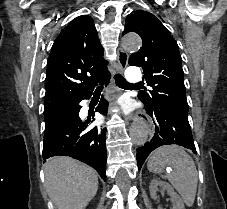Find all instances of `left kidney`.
<instances>
[{
    "label": "left kidney",
    "instance_id": "5707ae66",
    "mask_svg": "<svg viewBox=\"0 0 227 209\" xmlns=\"http://www.w3.org/2000/svg\"><path fill=\"white\" fill-rule=\"evenodd\" d=\"M158 187H162V189H165V191H167L168 195H170V201H172V203H174L173 209H185L184 203H183L181 197H179V195H177V193H175L173 187H171V185H169V183H165V181H160V179H152V181L150 183L149 189H150L151 199H157ZM159 209H161V207H159Z\"/></svg>",
    "mask_w": 227,
    "mask_h": 209
}]
</instances>
